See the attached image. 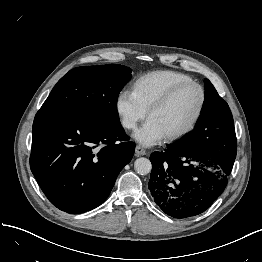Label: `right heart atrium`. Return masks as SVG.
I'll list each match as a JSON object with an SVG mask.
<instances>
[{
	"mask_svg": "<svg viewBox=\"0 0 262 262\" xmlns=\"http://www.w3.org/2000/svg\"><path fill=\"white\" fill-rule=\"evenodd\" d=\"M116 111L120 122L128 130H134L147 116V110L140 104L132 91L122 90L116 97Z\"/></svg>",
	"mask_w": 262,
	"mask_h": 262,
	"instance_id": "d8ad5b80",
	"label": "right heart atrium"
}]
</instances>
